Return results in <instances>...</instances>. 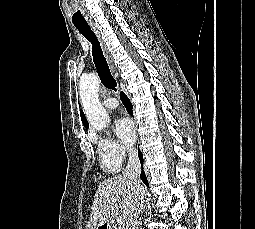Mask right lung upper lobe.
<instances>
[{"label": "right lung upper lobe", "mask_w": 255, "mask_h": 229, "mask_svg": "<svg viewBox=\"0 0 255 229\" xmlns=\"http://www.w3.org/2000/svg\"><path fill=\"white\" fill-rule=\"evenodd\" d=\"M80 115H81V120H82V123L84 125L85 128H88L89 127V123L84 115V113L81 111L80 112Z\"/></svg>", "instance_id": "right-lung-upper-lobe-1"}]
</instances>
